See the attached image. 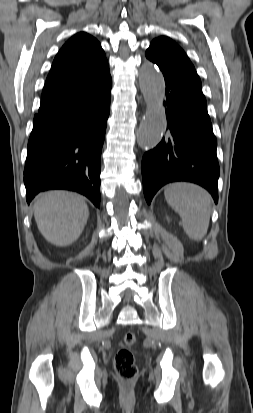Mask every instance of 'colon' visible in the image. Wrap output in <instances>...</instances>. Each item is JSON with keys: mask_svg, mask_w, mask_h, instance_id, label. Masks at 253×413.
<instances>
[{"mask_svg": "<svg viewBox=\"0 0 253 413\" xmlns=\"http://www.w3.org/2000/svg\"><path fill=\"white\" fill-rule=\"evenodd\" d=\"M137 342L136 335L128 332L124 335L123 346L117 351L114 359V368L118 378L125 382H132L138 373L132 348Z\"/></svg>", "mask_w": 253, "mask_h": 413, "instance_id": "colon-1", "label": "colon"}]
</instances>
